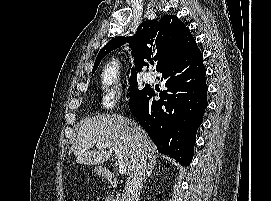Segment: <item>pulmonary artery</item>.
I'll list each match as a JSON object with an SVG mask.
<instances>
[{"label": "pulmonary artery", "mask_w": 271, "mask_h": 201, "mask_svg": "<svg viewBox=\"0 0 271 201\" xmlns=\"http://www.w3.org/2000/svg\"><path fill=\"white\" fill-rule=\"evenodd\" d=\"M143 79L145 82H152L154 80V76L148 72L144 74Z\"/></svg>", "instance_id": "obj_1"}]
</instances>
